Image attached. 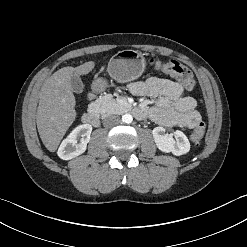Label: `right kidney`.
I'll list each match as a JSON object with an SVG mask.
<instances>
[{
	"label": "right kidney",
	"instance_id": "right-kidney-1",
	"mask_svg": "<svg viewBox=\"0 0 247 247\" xmlns=\"http://www.w3.org/2000/svg\"><path fill=\"white\" fill-rule=\"evenodd\" d=\"M92 126L90 124H83L76 127L68 136L62 141L58 156L63 160H70L86 151L87 143L90 141Z\"/></svg>",
	"mask_w": 247,
	"mask_h": 247
}]
</instances>
